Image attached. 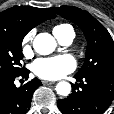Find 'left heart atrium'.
<instances>
[{"instance_id": "left-heart-atrium-1", "label": "left heart atrium", "mask_w": 114, "mask_h": 114, "mask_svg": "<svg viewBox=\"0 0 114 114\" xmlns=\"http://www.w3.org/2000/svg\"><path fill=\"white\" fill-rule=\"evenodd\" d=\"M76 67L74 58L68 54L39 58L32 64V71L42 79L56 80L71 73Z\"/></svg>"}]
</instances>
